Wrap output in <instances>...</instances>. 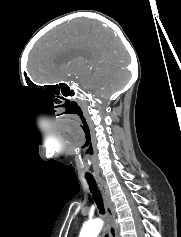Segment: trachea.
<instances>
[{"mask_svg": "<svg viewBox=\"0 0 181 237\" xmlns=\"http://www.w3.org/2000/svg\"><path fill=\"white\" fill-rule=\"evenodd\" d=\"M86 180L89 184L90 191H91V193L95 199V202L98 206L99 212L101 214H104L105 210H104V206H103L102 197H101L100 191L96 185L95 179L94 178H86Z\"/></svg>", "mask_w": 181, "mask_h": 237, "instance_id": "3493384b", "label": "trachea"}]
</instances>
